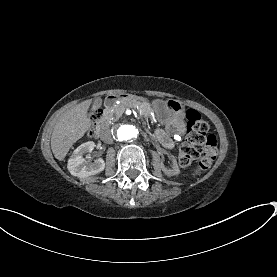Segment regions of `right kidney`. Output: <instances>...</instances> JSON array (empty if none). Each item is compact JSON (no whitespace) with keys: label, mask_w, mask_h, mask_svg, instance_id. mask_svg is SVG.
I'll return each mask as SVG.
<instances>
[{"label":"right kidney","mask_w":277,"mask_h":277,"mask_svg":"<svg viewBox=\"0 0 277 277\" xmlns=\"http://www.w3.org/2000/svg\"><path fill=\"white\" fill-rule=\"evenodd\" d=\"M95 147L93 141H88L77 147L70 156L67 164V168L71 175L85 178L91 175L100 173L105 168V162L102 158L96 159L94 162H89L83 155L92 152Z\"/></svg>","instance_id":"obj_1"}]
</instances>
